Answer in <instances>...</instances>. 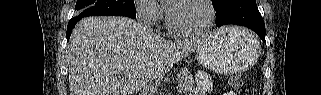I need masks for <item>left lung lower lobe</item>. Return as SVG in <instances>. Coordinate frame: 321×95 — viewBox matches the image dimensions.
I'll return each instance as SVG.
<instances>
[{
  "instance_id": "obj_1",
  "label": "left lung lower lobe",
  "mask_w": 321,
  "mask_h": 95,
  "mask_svg": "<svg viewBox=\"0 0 321 95\" xmlns=\"http://www.w3.org/2000/svg\"><path fill=\"white\" fill-rule=\"evenodd\" d=\"M216 11V25L236 24L250 28L265 41V25L255 0H225Z\"/></svg>"
}]
</instances>
